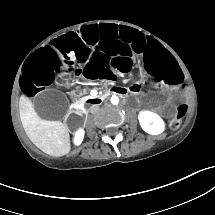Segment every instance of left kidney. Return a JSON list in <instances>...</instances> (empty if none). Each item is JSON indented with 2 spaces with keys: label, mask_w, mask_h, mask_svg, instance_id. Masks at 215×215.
I'll list each match as a JSON object with an SVG mask.
<instances>
[{
  "label": "left kidney",
  "mask_w": 215,
  "mask_h": 215,
  "mask_svg": "<svg viewBox=\"0 0 215 215\" xmlns=\"http://www.w3.org/2000/svg\"><path fill=\"white\" fill-rule=\"evenodd\" d=\"M141 128L148 134L158 135L165 129L162 118L156 113L150 111H142L138 115Z\"/></svg>",
  "instance_id": "obj_1"
}]
</instances>
